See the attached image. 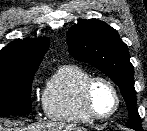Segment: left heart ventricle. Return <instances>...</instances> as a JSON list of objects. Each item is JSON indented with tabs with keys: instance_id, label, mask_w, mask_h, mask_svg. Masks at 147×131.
Listing matches in <instances>:
<instances>
[{
	"instance_id": "obj_1",
	"label": "left heart ventricle",
	"mask_w": 147,
	"mask_h": 131,
	"mask_svg": "<svg viewBox=\"0 0 147 131\" xmlns=\"http://www.w3.org/2000/svg\"><path fill=\"white\" fill-rule=\"evenodd\" d=\"M91 100L94 110L101 115L111 112L115 106L114 93L104 82H97L93 86Z\"/></svg>"
}]
</instances>
